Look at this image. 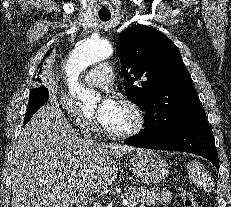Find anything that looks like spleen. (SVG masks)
Instances as JSON below:
<instances>
[{
  "instance_id": "1",
  "label": "spleen",
  "mask_w": 231,
  "mask_h": 207,
  "mask_svg": "<svg viewBox=\"0 0 231 207\" xmlns=\"http://www.w3.org/2000/svg\"><path fill=\"white\" fill-rule=\"evenodd\" d=\"M188 173L192 181L200 186L206 184L204 173H203V167L198 162H189L188 163Z\"/></svg>"
}]
</instances>
